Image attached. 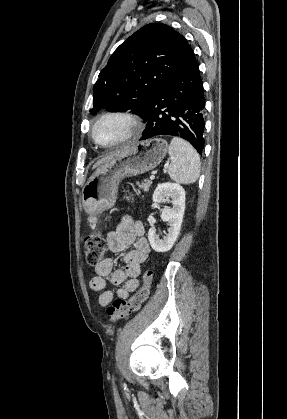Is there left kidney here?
<instances>
[{
    "label": "left kidney",
    "instance_id": "1",
    "mask_svg": "<svg viewBox=\"0 0 287 419\" xmlns=\"http://www.w3.org/2000/svg\"><path fill=\"white\" fill-rule=\"evenodd\" d=\"M171 199L172 208L162 210L161 219L168 222L170 227L167 234L160 239L155 228L151 227L148 232V239L152 249L156 252L169 251L179 235L185 210V191L182 186L176 183L165 182L159 184L153 194V202L161 203Z\"/></svg>",
    "mask_w": 287,
    "mask_h": 419
}]
</instances>
